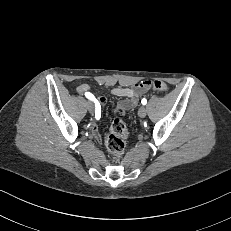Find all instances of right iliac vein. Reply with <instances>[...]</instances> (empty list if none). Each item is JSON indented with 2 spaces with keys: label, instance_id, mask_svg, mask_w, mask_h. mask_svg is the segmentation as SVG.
<instances>
[{
  "label": "right iliac vein",
  "instance_id": "right-iliac-vein-1",
  "mask_svg": "<svg viewBox=\"0 0 231 231\" xmlns=\"http://www.w3.org/2000/svg\"><path fill=\"white\" fill-rule=\"evenodd\" d=\"M87 108H88V111L90 113H94V110H95V106H94V103L92 101H88L87 102Z\"/></svg>",
  "mask_w": 231,
  "mask_h": 231
}]
</instances>
